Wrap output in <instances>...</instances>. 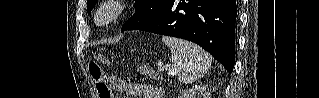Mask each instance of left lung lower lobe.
Returning <instances> with one entry per match:
<instances>
[{
	"instance_id": "1",
	"label": "left lung lower lobe",
	"mask_w": 319,
	"mask_h": 98,
	"mask_svg": "<svg viewBox=\"0 0 319 98\" xmlns=\"http://www.w3.org/2000/svg\"><path fill=\"white\" fill-rule=\"evenodd\" d=\"M236 17V0H164L159 14L138 30L195 42L231 73Z\"/></svg>"
}]
</instances>
